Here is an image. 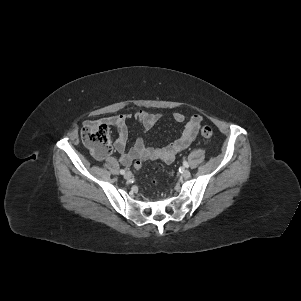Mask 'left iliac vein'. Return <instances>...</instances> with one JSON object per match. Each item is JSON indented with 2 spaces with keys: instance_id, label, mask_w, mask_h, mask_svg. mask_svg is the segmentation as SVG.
<instances>
[{
  "instance_id": "left-iliac-vein-1",
  "label": "left iliac vein",
  "mask_w": 301,
  "mask_h": 301,
  "mask_svg": "<svg viewBox=\"0 0 301 301\" xmlns=\"http://www.w3.org/2000/svg\"><path fill=\"white\" fill-rule=\"evenodd\" d=\"M182 176H183L185 179H188V178H190L191 173H190L189 170L184 169L183 172H182Z\"/></svg>"
}]
</instances>
